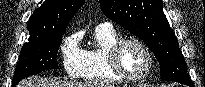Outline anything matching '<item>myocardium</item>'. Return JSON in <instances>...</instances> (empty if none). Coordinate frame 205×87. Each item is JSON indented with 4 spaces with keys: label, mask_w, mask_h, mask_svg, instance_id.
I'll return each mask as SVG.
<instances>
[{
    "label": "myocardium",
    "mask_w": 205,
    "mask_h": 87,
    "mask_svg": "<svg viewBox=\"0 0 205 87\" xmlns=\"http://www.w3.org/2000/svg\"><path fill=\"white\" fill-rule=\"evenodd\" d=\"M128 44L138 45L144 50V52L147 55V58H148L147 68L140 75L130 76L121 67L120 54H121L122 49ZM107 58H108V64H109L110 70L112 71L114 76H116L118 79L124 82H131V83L141 82L150 75L154 67V56H153L151 49L145 42L137 38L120 39L110 48Z\"/></svg>",
    "instance_id": "obj_1"
}]
</instances>
